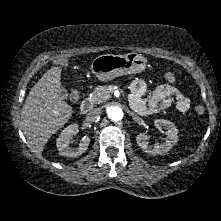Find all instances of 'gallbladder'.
I'll return each instance as SVG.
<instances>
[{
  "mask_svg": "<svg viewBox=\"0 0 221 221\" xmlns=\"http://www.w3.org/2000/svg\"><path fill=\"white\" fill-rule=\"evenodd\" d=\"M59 95H60L63 99H67V98H68L67 90L64 89V88H61V91H60Z\"/></svg>",
  "mask_w": 221,
  "mask_h": 221,
  "instance_id": "1",
  "label": "gallbladder"
}]
</instances>
